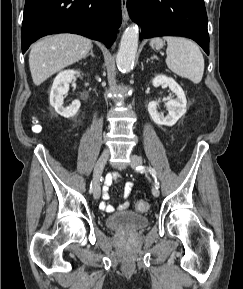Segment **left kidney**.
I'll return each instance as SVG.
<instances>
[{
  "label": "left kidney",
  "instance_id": "obj_1",
  "mask_svg": "<svg viewBox=\"0 0 243 289\" xmlns=\"http://www.w3.org/2000/svg\"><path fill=\"white\" fill-rule=\"evenodd\" d=\"M154 87L160 85H167L169 89L175 93L176 99H170L165 103V107L168 110V115L164 116L159 113L157 107L159 103L157 101H151L148 104V112L152 120L158 125L173 126L176 122L186 113L187 100L183 89L174 81V79L166 77L165 75H157L153 80Z\"/></svg>",
  "mask_w": 243,
  "mask_h": 289
}]
</instances>
